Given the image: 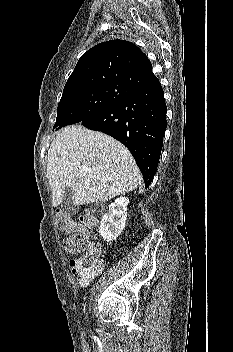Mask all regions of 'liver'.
I'll return each mask as SVG.
<instances>
[{
	"label": "liver",
	"instance_id": "6515ba94",
	"mask_svg": "<svg viewBox=\"0 0 233 352\" xmlns=\"http://www.w3.org/2000/svg\"><path fill=\"white\" fill-rule=\"evenodd\" d=\"M47 177L52 204H61L66 187L74 205L106 201L136 189L141 174L129 150L114 138L72 125L48 150Z\"/></svg>",
	"mask_w": 233,
	"mask_h": 352
}]
</instances>
